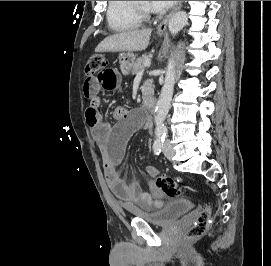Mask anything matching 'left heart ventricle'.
<instances>
[{"mask_svg":"<svg viewBox=\"0 0 271 266\" xmlns=\"http://www.w3.org/2000/svg\"><path fill=\"white\" fill-rule=\"evenodd\" d=\"M136 5L144 8V9H150V1H135Z\"/></svg>","mask_w":271,"mask_h":266,"instance_id":"left-heart-ventricle-1","label":"left heart ventricle"}]
</instances>
